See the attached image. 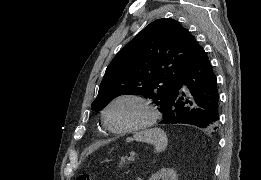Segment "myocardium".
I'll return each instance as SVG.
<instances>
[{"label": "myocardium", "instance_id": "myocardium-1", "mask_svg": "<svg viewBox=\"0 0 261 180\" xmlns=\"http://www.w3.org/2000/svg\"><path fill=\"white\" fill-rule=\"evenodd\" d=\"M125 100L135 101L141 104L145 113L142 120L135 126L127 129H115L109 123V111L117 103ZM156 119V110L154 103L146 96L139 93H122L111 99L103 109L102 122L108 132L115 136H131L143 133L150 129Z\"/></svg>", "mask_w": 261, "mask_h": 180}]
</instances>
